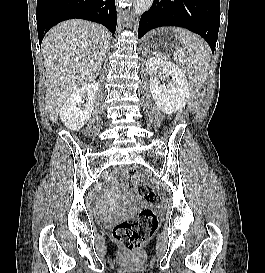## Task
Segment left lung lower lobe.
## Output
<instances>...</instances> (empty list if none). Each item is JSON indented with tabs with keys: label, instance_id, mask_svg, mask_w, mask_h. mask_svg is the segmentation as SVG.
I'll return each instance as SVG.
<instances>
[{
	"label": "left lung lower lobe",
	"instance_id": "left-lung-lower-lobe-1",
	"mask_svg": "<svg viewBox=\"0 0 265 273\" xmlns=\"http://www.w3.org/2000/svg\"><path fill=\"white\" fill-rule=\"evenodd\" d=\"M162 26H179L201 35L215 50L220 26V0H154L139 22L138 37Z\"/></svg>",
	"mask_w": 265,
	"mask_h": 273
}]
</instances>
